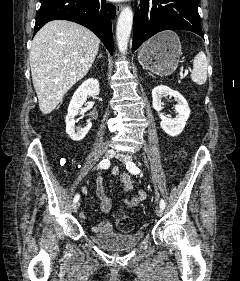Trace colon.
Listing matches in <instances>:
<instances>
[{"instance_id": "obj_1", "label": "colon", "mask_w": 240, "mask_h": 281, "mask_svg": "<svg viewBox=\"0 0 240 281\" xmlns=\"http://www.w3.org/2000/svg\"><path fill=\"white\" fill-rule=\"evenodd\" d=\"M115 222L117 228L123 232L131 231L133 228L132 219L122 211H117L115 213Z\"/></svg>"}]
</instances>
